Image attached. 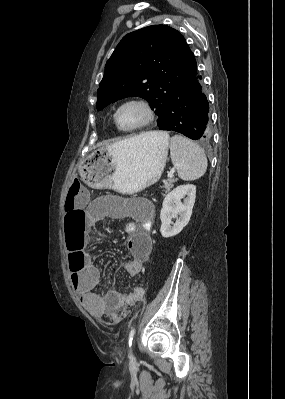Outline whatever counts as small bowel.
Listing matches in <instances>:
<instances>
[{
	"mask_svg": "<svg viewBox=\"0 0 285 399\" xmlns=\"http://www.w3.org/2000/svg\"><path fill=\"white\" fill-rule=\"evenodd\" d=\"M87 203L88 200L86 198H82L79 201L82 207H86ZM109 215L116 218H124L126 216L123 198L107 196L98 203L97 218ZM154 223L155 221L150 216L141 213L133 221L124 225V232L128 236L127 244L130 253L129 260L123 266L127 277H138L142 271L143 263L150 256L152 248L150 231ZM94 226L95 222L90 224L81 222L70 226L68 220H66L65 232L71 231L79 243L84 246H90V231ZM70 283L82 306L90 310L97 319H107L109 324H115L121 320V318L116 319V317L124 306L128 304L133 306L141 302L144 297L142 289H135L132 292L125 293L105 285L101 269L95 264L90 255L85 256V266L80 271L71 274ZM99 288V293L94 292Z\"/></svg>",
	"mask_w": 285,
	"mask_h": 399,
	"instance_id": "obj_1",
	"label": "small bowel"
}]
</instances>
